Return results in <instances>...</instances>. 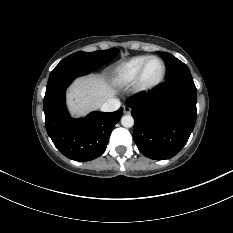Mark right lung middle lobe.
I'll return each instance as SVG.
<instances>
[{
  "label": "right lung middle lobe",
  "mask_w": 233,
  "mask_h": 233,
  "mask_svg": "<svg viewBox=\"0 0 233 233\" xmlns=\"http://www.w3.org/2000/svg\"><path fill=\"white\" fill-rule=\"evenodd\" d=\"M119 50L111 48L95 52L78 51L64 58L51 72L93 71L111 61Z\"/></svg>",
  "instance_id": "1"
}]
</instances>
